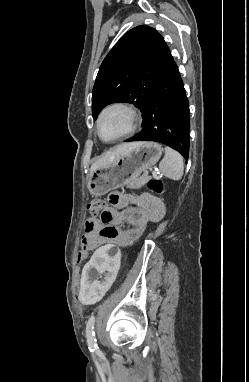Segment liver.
Listing matches in <instances>:
<instances>
[{"label":"liver","mask_w":249,"mask_h":382,"mask_svg":"<svg viewBox=\"0 0 249 382\" xmlns=\"http://www.w3.org/2000/svg\"><path fill=\"white\" fill-rule=\"evenodd\" d=\"M138 145L137 143H124L118 145L112 151L105 153L102 157H100L96 162H94L90 168V175L97 169L101 167H105L113 163L118 157L124 155L134 147Z\"/></svg>","instance_id":"obj_1"}]
</instances>
